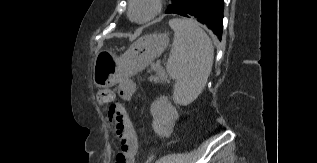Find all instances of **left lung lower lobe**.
I'll use <instances>...</instances> for the list:
<instances>
[{"label":"left lung lower lobe","mask_w":317,"mask_h":163,"mask_svg":"<svg viewBox=\"0 0 317 163\" xmlns=\"http://www.w3.org/2000/svg\"><path fill=\"white\" fill-rule=\"evenodd\" d=\"M223 8V0H181L171 13L197 19L206 24L221 40Z\"/></svg>","instance_id":"1"}]
</instances>
